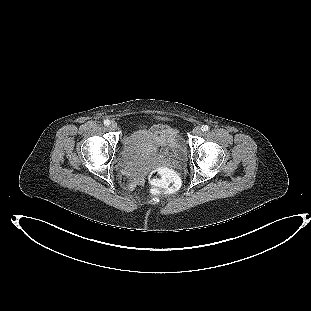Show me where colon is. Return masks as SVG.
<instances>
[{
	"instance_id": "1",
	"label": "colon",
	"mask_w": 311,
	"mask_h": 311,
	"mask_svg": "<svg viewBox=\"0 0 311 311\" xmlns=\"http://www.w3.org/2000/svg\"><path fill=\"white\" fill-rule=\"evenodd\" d=\"M149 181L153 186L152 193L166 195L174 193L179 186L178 175L168 167H157L149 173ZM123 182H127L126 177Z\"/></svg>"
}]
</instances>
